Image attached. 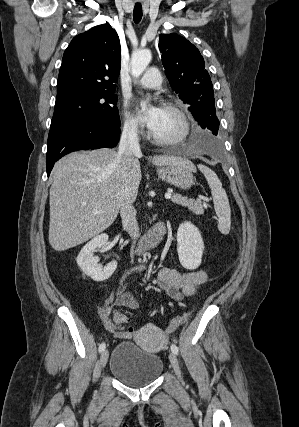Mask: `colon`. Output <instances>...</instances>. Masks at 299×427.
<instances>
[{"label": "colon", "mask_w": 299, "mask_h": 427, "mask_svg": "<svg viewBox=\"0 0 299 427\" xmlns=\"http://www.w3.org/2000/svg\"><path fill=\"white\" fill-rule=\"evenodd\" d=\"M113 321L114 324L116 325V327H121L122 325H124L127 321L126 316L123 313H116L113 317ZM127 333L131 334L132 333V329H128Z\"/></svg>", "instance_id": "1"}]
</instances>
